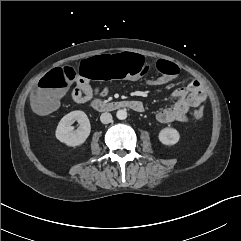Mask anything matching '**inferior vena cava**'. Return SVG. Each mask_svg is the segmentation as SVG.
Segmentation results:
<instances>
[{"label":"inferior vena cava","instance_id":"inferior-vena-cava-1","mask_svg":"<svg viewBox=\"0 0 241 241\" xmlns=\"http://www.w3.org/2000/svg\"><path fill=\"white\" fill-rule=\"evenodd\" d=\"M100 121L103 124H108L112 121V115L108 112L102 113L100 116Z\"/></svg>","mask_w":241,"mask_h":241}]
</instances>
